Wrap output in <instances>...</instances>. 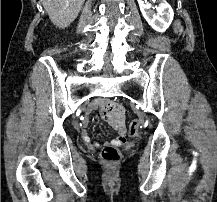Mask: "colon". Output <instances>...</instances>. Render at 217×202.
Here are the masks:
<instances>
[{"instance_id":"5ec220e1","label":"colon","mask_w":217,"mask_h":202,"mask_svg":"<svg viewBox=\"0 0 217 202\" xmlns=\"http://www.w3.org/2000/svg\"><path fill=\"white\" fill-rule=\"evenodd\" d=\"M182 30L181 22L178 21L175 25V31L180 33ZM102 115V113H100ZM100 119H103V116H100ZM139 126L138 120H133L129 128V135L131 137L138 135L137 127ZM101 158L104 162L109 164H116L121 159V152L118 147L115 146H106L101 152Z\"/></svg>"}]
</instances>
